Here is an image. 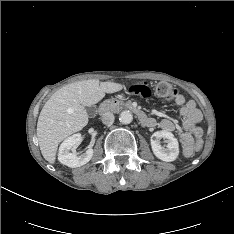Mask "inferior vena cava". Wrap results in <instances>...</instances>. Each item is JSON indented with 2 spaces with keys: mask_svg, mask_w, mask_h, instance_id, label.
Masks as SVG:
<instances>
[{
  "mask_svg": "<svg viewBox=\"0 0 234 234\" xmlns=\"http://www.w3.org/2000/svg\"><path fill=\"white\" fill-rule=\"evenodd\" d=\"M114 114L111 112H106L101 116V120L106 125H111L114 122Z\"/></svg>",
  "mask_w": 234,
  "mask_h": 234,
  "instance_id": "inferior-vena-cava-1",
  "label": "inferior vena cava"
}]
</instances>
